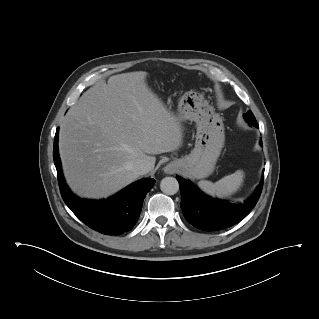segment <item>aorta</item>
I'll list each match as a JSON object with an SVG mask.
<instances>
[{
	"instance_id": "obj_1",
	"label": "aorta",
	"mask_w": 319,
	"mask_h": 319,
	"mask_svg": "<svg viewBox=\"0 0 319 319\" xmlns=\"http://www.w3.org/2000/svg\"><path fill=\"white\" fill-rule=\"evenodd\" d=\"M160 189L164 194L174 195L179 190V184L174 177H165L160 183Z\"/></svg>"
}]
</instances>
